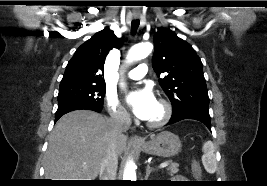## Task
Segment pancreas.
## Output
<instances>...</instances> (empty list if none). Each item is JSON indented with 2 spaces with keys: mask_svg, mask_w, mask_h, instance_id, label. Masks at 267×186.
Returning <instances> with one entry per match:
<instances>
[{
  "mask_svg": "<svg viewBox=\"0 0 267 186\" xmlns=\"http://www.w3.org/2000/svg\"><path fill=\"white\" fill-rule=\"evenodd\" d=\"M179 164L178 163H170L169 166L167 167V171L169 172L170 175H174L178 173L179 169Z\"/></svg>",
  "mask_w": 267,
  "mask_h": 186,
  "instance_id": "pancreas-1",
  "label": "pancreas"
}]
</instances>
